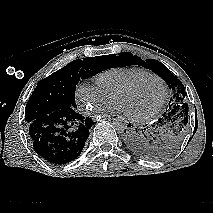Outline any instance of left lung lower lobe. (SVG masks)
Returning a JSON list of instances; mask_svg holds the SVG:
<instances>
[{"mask_svg":"<svg viewBox=\"0 0 213 213\" xmlns=\"http://www.w3.org/2000/svg\"><path fill=\"white\" fill-rule=\"evenodd\" d=\"M166 118L167 115L164 113L158 121L145 125L141 129L131 128V124L127 125L129 129L124 131V141L127 147L138 156L154 159V144L164 127V119Z\"/></svg>","mask_w":213,"mask_h":213,"instance_id":"obj_1","label":"left lung lower lobe"}]
</instances>
